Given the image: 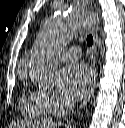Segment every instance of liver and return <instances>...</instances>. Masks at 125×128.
<instances>
[{
  "label": "liver",
  "instance_id": "obj_1",
  "mask_svg": "<svg viewBox=\"0 0 125 128\" xmlns=\"http://www.w3.org/2000/svg\"><path fill=\"white\" fill-rule=\"evenodd\" d=\"M19 128H26L29 127V124L27 123H20V125H17Z\"/></svg>",
  "mask_w": 125,
  "mask_h": 128
}]
</instances>
